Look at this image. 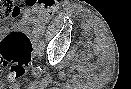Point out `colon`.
<instances>
[{
	"label": "colon",
	"mask_w": 131,
	"mask_h": 89,
	"mask_svg": "<svg viewBox=\"0 0 131 89\" xmlns=\"http://www.w3.org/2000/svg\"><path fill=\"white\" fill-rule=\"evenodd\" d=\"M23 9L21 4L0 0V20L17 17ZM33 47L29 37L22 32H12L0 40V69L8 66L5 84L17 88L31 62ZM1 86V85H0Z\"/></svg>",
	"instance_id": "colon-1"
}]
</instances>
